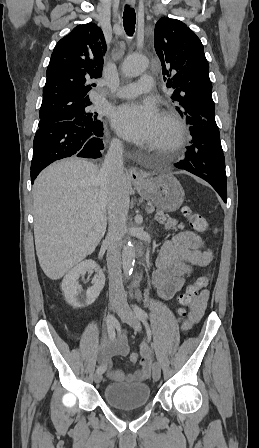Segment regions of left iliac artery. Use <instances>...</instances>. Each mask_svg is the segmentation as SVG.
<instances>
[{"label":"left iliac artery","mask_w":259,"mask_h":448,"mask_svg":"<svg viewBox=\"0 0 259 448\" xmlns=\"http://www.w3.org/2000/svg\"><path fill=\"white\" fill-rule=\"evenodd\" d=\"M133 310L135 312V314L137 315V317L142 321V322H146L148 315L147 313L138 305L134 304L133 305Z\"/></svg>","instance_id":"obj_1"}]
</instances>
